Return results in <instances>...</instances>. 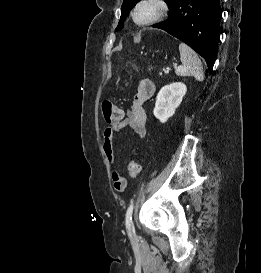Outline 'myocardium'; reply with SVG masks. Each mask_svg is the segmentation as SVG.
I'll list each match as a JSON object with an SVG mask.
<instances>
[{"label":"myocardium","mask_w":261,"mask_h":273,"mask_svg":"<svg viewBox=\"0 0 261 273\" xmlns=\"http://www.w3.org/2000/svg\"><path fill=\"white\" fill-rule=\"evenodd\" d=\"M169 6L165 0H140L131 11L133 22L138 26H149L161 21L167 14ZM147 11L145 17L141 13Z\"/></svg>","instance_id":"f54148a6"}]
</instances>
